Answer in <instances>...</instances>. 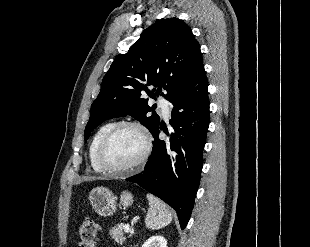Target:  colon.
<instances>
[{
	"mask_svg": "<svg viewBox=\"0 0 310 247\" xmlns=\"http://www.w3.org/2000/svg\"><path fill=\"white\" fill-rule=\"evenodd\" d=\"M98 234V225L90 218L85 219L79 228V247H95V239Z\"/></svg>",
	"mask_w": 310,
	"mask_h": 247,
	"instance_id": "5ec220e1",
	"label": "colon"
}]
</instances>
